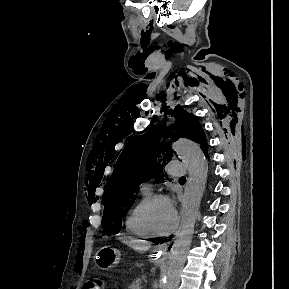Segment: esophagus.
<instances>
[{
	"instance_id": "34e87169",
	"label": "esophagus",
	"mask_w": 289,
	"mask_h": 289,
	"mask_svg": "<svg viewBox=\"0 0 289 289\" xmlns=\"http://www.w3.org/2000/svg\"><path fill=\"white\" fill-rule=\"evenodd\" d=\"M170 243H163L156 247V251L159 253V256L165 258L168 254Z\"/></svg>"
}]
</instances>
